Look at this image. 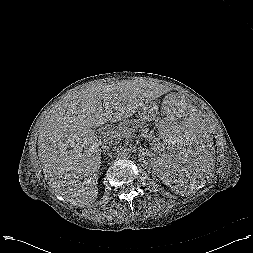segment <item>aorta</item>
Instances as JSON below:
<instances>
[{
  "mask_svg": "<svg viewBox=\"0 0 253 253\" xmlns=\"http://www.w3.org/2000/svg\"><path fill=\"white\" fill-rule=\"evenodd\" d=\"M118 156H120L123 159H128L131 156V150L128 147H121L118 151Z\"/></svg>",
  "mask_w": 253,
  "mask_h": 253,
  "instance_id": "obj_1",
  "label": "aorta"
}]
</instances>
